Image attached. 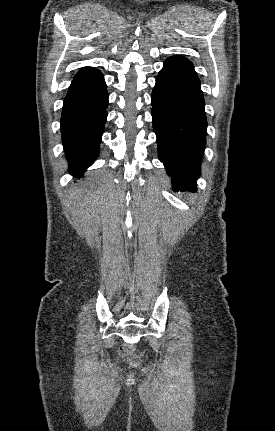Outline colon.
<instances>
[{"label":"colon","instance_id":"5ec220e1","mask_svg":"<svg viewBox=\"0 0 275 431\" xmlns=\"http://www.w3.org/2000/svg\"><path fill=\"white\" fill-rule=\"evenodd\" d=\"M122 354L128 359L130 364L134 367L140 366L142 360L141 357L135 354V348L131 344H125L121 348Z\"/></svg>","mask_w":275,"mask_h":431}]
</instances>
